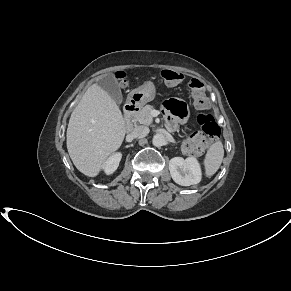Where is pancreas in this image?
<instances>
[{
  "label": "pancreas",
  "mask_w": 291,
  "mask_h": 291,
  "mask_svg": "<svg viewBox=\"0 0 291 291\" xmlns=\"http://www.w3.org/2000/svg\"><path fill=\"white\" fill-rule=\"evenodd\" d=\"M154 109L152 105H146L143 107L134 117L135 121H138L143 125H151L153 118L151 116V111Z\"/></svg>",
  "instance_id": "cf45deb5"
}]
</instances>
